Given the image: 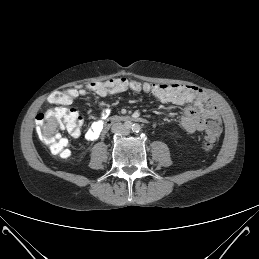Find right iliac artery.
<instances>
[{"label":"right iliac artery","mask_w":259,"mask_h":259,"mask_svg":"<svg viewBox=\"0 0 259 259\" xmlns=\"http://www.w3.org/2000/svg\"><path fill=\"white\" fill-rule=\"evenodd\" d=\"M127 127H131V125H130V124H128V125H127Z\"/></svg>","instance_id":"obj_1"}]
</instances>
